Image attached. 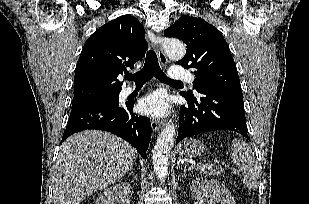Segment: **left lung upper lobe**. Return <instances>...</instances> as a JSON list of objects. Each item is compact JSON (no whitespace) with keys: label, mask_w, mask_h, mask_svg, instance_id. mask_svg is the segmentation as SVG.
<instances>
[{"label":"left lung upper lobe","mask_w":309,"mask_h":204,"mask_svg":"<svg viewBox=\"0 0 309 204\" xmlns=\"http://www.w3.org/2000/svg\"><path fill=\"white\" fill-rule=\"evenodd\" d=\"M166 37L181 39L187 50L176 62L192 69L194 88L241 91L240 80L230 49L220 31L201 18L183 15L164 31ZM184 93V92H182ZM186 94L192 95V91Z\"/></svg>","instance_id":"obj_1"}]
</instances>
